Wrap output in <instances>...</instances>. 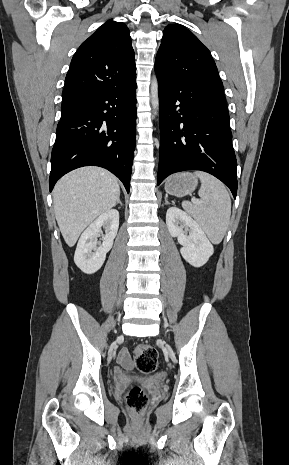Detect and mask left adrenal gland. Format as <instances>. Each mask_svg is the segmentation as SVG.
Segmentation results:
<instances>
[{
	"mask_svg": "<svg viewBox=\"0 0 289 465\" xmlns=\"http://www.w3.org/2000/svg\"><path fill=\"white\" fill-rule=\"evenodd\" d=\"M165 204H169V202L167 200V196L165 197Z\"/></svg>",
	"mask_w": 289,
	"mask_h": 465,
	"instance_id": "left-adrenal-gland-1",
	"label": "left adrenal gland"
}]
</instances>
